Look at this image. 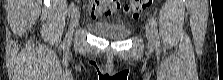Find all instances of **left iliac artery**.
Here are the masks:
<instances>
[{
	"label": "left iliac artery",
	"instance_id": "1",
	"mask_svg": "<svg viewBox=\"0 0 223 80\" xmlns=\"http://www.w3.org/2000/svg\"><path fill=\"white\" fill-rule=\"evenodd\" d=\"M149 20H150L151 28H152L154 36H155V46H156L157 49H159L160 43H159L157 23H156V21L154 20L153 17H150Z\"/></svg>",
	"mask_w": 223,
	"mask_h": 80
}]
</instances>
